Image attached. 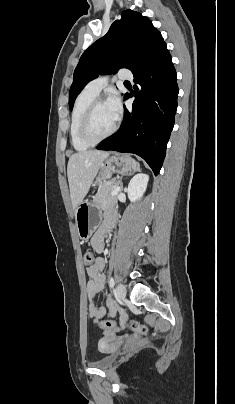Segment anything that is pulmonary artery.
Here are the masks:
<instances>
[{
	"label": "pulmonary artery",
	"instance_id": "pulmonary-artery-1",
	"mask_svg": "<svg viewBox=\"0 0 235 404\" xmlns=\"http://www.w3.org/2000/svg\"><path fill=\"white\" fill-rule=\"evenodd\" d=\"M118 77L123 80H132L133 74L129 69H122L118 72ZM109 81V76H100L90 81L84 88V90L92 95L97 96L101 90L106 87Z\"/></svg>",
	"mask_w": 235,
	"mask_h": 404
}]
</instances>
